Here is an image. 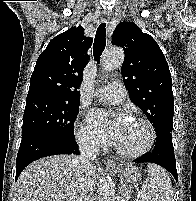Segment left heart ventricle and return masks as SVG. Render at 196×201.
Wrapping results in <instances>:
<instances>
[{"label": "left heart ventricle", "instance_id": "obj_1", "mask_svg": "<svg viewBox=\"0 0 196 201\" xmlns=\"http://www.w3.org/2000/svg\"><path fill=\"white\" fill-rule=\"evenodd\" d=\"M147 139V131L137 121H130L121 131L115 145L127 152L141 149Z\"/></svg>", "mask_w": 196, "mask_h": 201}]
</instances>
